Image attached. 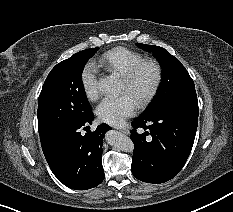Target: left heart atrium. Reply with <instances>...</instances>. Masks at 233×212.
I'll list each match as a JSON object with an SVG mask.
<instances>
[{
    "label": "left heart atrium",
    "instance_id": "1",
    "mask_svg": "<svg viewBox=\"0 0 233 212\" xmlns=\"http://www.w3.org/2000/svg\"><path fill=\"white\" fill-rule=\"evenodd\" d=\"M138 103L127 93L119 97H106L96 108L99 119L105 123L119 126L132 116Z\"/></svg>",
    "mask_w": 233,
    "mask_h": 212
}]
</instances>
